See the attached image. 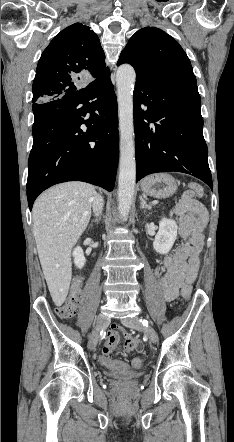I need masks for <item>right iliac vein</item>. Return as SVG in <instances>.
Returning a JSON list of instances; mask_svg holds the SVG:
<instances>
[{
  "label": "right iliac vein",
  "instance_id": "right-iliac-vein-1",
  "mask_svg": "<svg viewBox=\"0 0 234 442\" xmlns=\"http://www.w3.org/2000/svg\"><path fill=\"white\" fill-rule=\"evenodd\" d=\"M109 323V317L106 314H99L98 318H97V322H96V326L95 329L92 333V336L90 338L88 347L90 350H94L97 342H98V337H99V333L100 331L105 328Z\"/></svg>",
  "mask_w": 234,
  "mask_h": 442
}]
</instances>
